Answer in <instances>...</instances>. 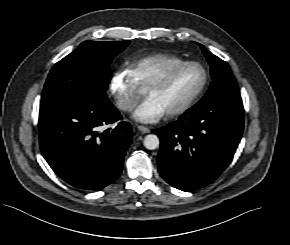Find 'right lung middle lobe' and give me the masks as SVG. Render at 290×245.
<instances>
[{
    "label": "right lung middle lobe",
    "instance_id": "right-lung-middle-lobe-1",
    "mask_svg": "<svg viewBox=\"0 0 290 245\" xmlns=\"http://www.w3.org/2000/svg\"><path fill=\"white\" fill-rule=\"evenodd\" d=\"M128 44V40L81 43L52 67L44 85L40 109L85 99L109 101L106 95L112 77L109 65Z\"/></svg>",
    "mask_w": 290,
    "mask_h": 245
}]
</instances>
